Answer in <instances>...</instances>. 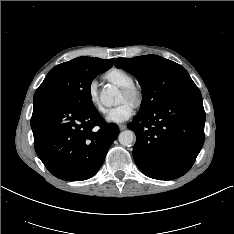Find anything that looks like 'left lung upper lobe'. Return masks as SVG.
<instances>
[{
    "label": "left lung upper lobe",
    "mask_w": 234,
    "mask_h": 234,
    "mask_svg": "<svg viewBox=\"0 0 234 234\" xmlns=\"http://www.w3.org/2000/svg\"><path fill=\"white\" fill-rule=\"evenodd\" d=\"M115 66L134 75L142 87L138 114L153 111L172 97L197 87L181 65L157 55L117 58Z\"/></svg>",
    "instance_id": "1"
}]
</instances>
